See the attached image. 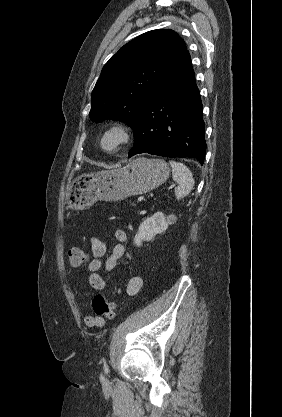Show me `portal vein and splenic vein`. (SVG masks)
Returning a JSON list of instances; mask_svg holds the SVG:
<instances>
[{
    "label": "portal vein and splenic vein",
    "instance_id": "portal-vein-and-splenic-vein-1",
    "mask_svg": "<svg viewBox=\"0 0 282 417\" xmlns=\"http://www.w3.org/2000/svg\"><path fill=\"white\" fill-rule=\"evenodd\" d=\"M172 186H175V184H172ZM146 196H148V193H145V195L140 194L139 197H138V199H137V202L138 203H142L143 200H144V198H146Z\"/></svg>",
    "mask_w": 282,
    "mask_h": 417
}]
</instances>
